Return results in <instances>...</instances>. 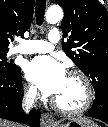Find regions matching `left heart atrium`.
Returning <instances> with one entry per match:
<instances>
[{"label": "left heart atrium", "mask_w": 108, "mask_h": 127, "mask_svg": "<svg viewBox=\"0 0 108 127\" xmlns=\"http://www.w3.org/2000/svg\"><path fill=\"white\" fill-rule=\"evenodd\" d=\"M27 77L47 95H56L66 79L64 67L48 56L36 57L27 66Z\"/></svg>", "instance_id": "39dd6f15"}]
</instances>
